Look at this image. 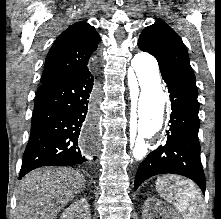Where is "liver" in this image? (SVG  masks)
<instances>
[{
  "mask_svg": "<svg viewBox=\"0 0 221 219\" xmlns=\"http://www.w3.org/2000/svg\"><path fill=\"white\" fill-rule=\"evenodd\" d=\"M83 174L67 168H40L27 174L17 191V219H56L84 187Z\"/></svg>",
  "mask_w": 221,
  "mask_h": 219,
  "instance_id": "obj_1",
  "label": "liver"
}]
</instances>
